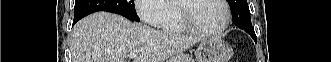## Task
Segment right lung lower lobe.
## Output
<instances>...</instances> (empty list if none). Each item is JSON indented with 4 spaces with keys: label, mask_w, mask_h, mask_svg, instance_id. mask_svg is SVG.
I'll use <instances>...</instances> for the list:
<instances>
[{
    "label": "right lung lower lobe",
    "mask_w": 331,
    "mask_h": 62,
    "mask_svg": "<svg viewBox=\"0 0 331 62\" xmlns=\"http://www.w3.org/2000/svg\"><path fill=\"white\" fill-rule=\"evenodd\" d=\"M77 21H78V20H75V19H74V20H73V24H75Z\"/></svg>",
    "instance_id": "98d812e1"
}]
</instances>
